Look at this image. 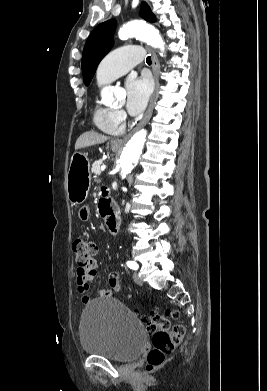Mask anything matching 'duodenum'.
I'll return each instance as SVG.
<instances>
[{
    "mask_svg": "<svg viewBox=\"0 0 267 391\" xmlns=\"http://www.w3.org/2000/svg\"><path fill=\"white\" fill-rule=\"evenodd\" d=\"M100 212L104 217L105 226L111 234H116L119 231V217L110 210L109 205L102 201L100 203Z\"/></svg>",
    "mask_w": 267,
    "mask_h": 391,
    "instance_id": "obj_1",
    "label": "duodenum"
}]
</instances>
